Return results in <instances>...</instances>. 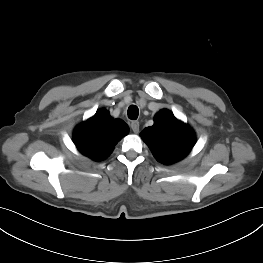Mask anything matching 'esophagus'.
I'll use <instances>...</instances> for the list:
<instances>
[{
	"label": "esophagus",
	"instance_id": "34e87169",
	"mask_svg": "<svg viewBox=\"0 0 263 263\" xmlns=\"http://www.w3.org/2000/svg\"><path fill=\"white\" fill-rule=\"evenodd\" d=\"M130 126L134 133L139 132V122L138 121H132Z\"/></svg>",
	"mask_w": 263,
	"mask_h": 263
}]
</instances>
